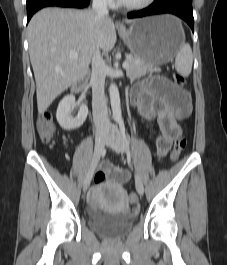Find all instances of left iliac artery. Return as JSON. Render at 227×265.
Masks as SVG:
<instances>
[{"instance_id": "1", "label": "left iliac artery", "mask_w": 227, "mask_h": 265, "mask_svg": "<svg viewBox=\"0 0 227 265\" xmlns=\"http://www.w3.org/2000/svg\"><path fill=\"white\" fill-rule=\"evenodd\" d=\"M119 126H120V131H121L122 137H123L127 147L129 148V140H128V137L126 135L124 123L122 121H120Z\"/></svg>"}]
</instances>
